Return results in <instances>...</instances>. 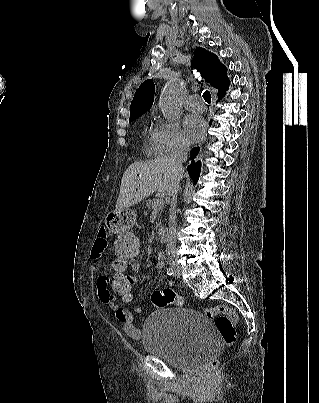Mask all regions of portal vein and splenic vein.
Listing matches in <instances>:
<instances>
[{"mask_svg": "<svg viewBox=\"0 0 319 403\" xmlns=\"http://www.w3.org/2000/svg\"><path fill=\"white\" fill-rule=\"evenodd\" d=\"M162 202H163V200H162V199H160V200L157 202V206L162 205Z\"/></svg>", "mask_w": 319, "mask_h": 403, "instance_id": "18ae733b", "label": "portal vein and splenic vein"}]
</instances>
